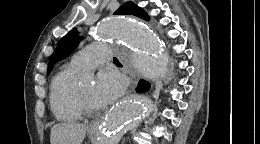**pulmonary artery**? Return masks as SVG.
I'll return each instance as SVG.
<instances>
[{"label":"pulmonary artery","instance_id":"1","mask_svg":"<svg viewBox=\"0 0 260 144\" xmlns=\"http://www.w3.org/2000/svg\"><path fill=\"white\" fill-rule=\"evenodd\" d=\"M112 49L104 43L91 44L73 55L71 62L81 70L93 69L111 61Z\"/></svg>","mask_w":260,"mask_h":144}]
</instances>
